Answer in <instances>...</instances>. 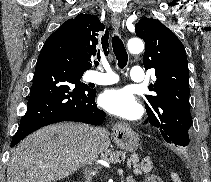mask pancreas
I'll return each instance as SVG.
<instances>
[{"mask_svg": "<svg viewBox=\"0 0 211 182\" xmlns=\"http://www.w3.org/2000/svg\"><path fill=\"white\" fill-rule=\"evenodd\" d=\"M126 153L122 151L107 150L102 158L110 163H120L124 161ZM127 166L133 167V173L135 175H141L142 173H149L152 170V163L150 161H141L137 155H131L127 160Z\"/></svg>", "mask_w": 211, "mask_h": 182, "instance_id": "cf45deb5", "label": "pancreas"}]
</instances>
